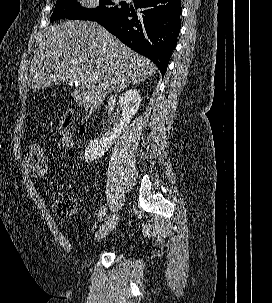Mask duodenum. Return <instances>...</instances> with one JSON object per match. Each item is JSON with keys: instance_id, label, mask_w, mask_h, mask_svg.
<instances>
[{"instance_id": "410a0bca", "label": "duodenum", "mask_w": 272, "mask_h": 303, "mask_svg": "<svg viewBox=\"0 0 272 303\" xmlns=\"http://www.w3.org/2000/svg\"><path fill=\"white\" fill-rule=\"evenodd\" d=\"M86 132V123H82L80 126V133L84 134Z\"/></svg>"}]
</instances>
